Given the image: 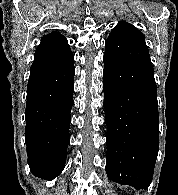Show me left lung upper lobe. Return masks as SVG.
<instances>
[{"label":"left lung upper lobe","mask_w":178,"mask_h":195,"mask_svg":"<svg viewBox=\"0 0 178 195\" xmlns=\"http://www.w3.org/2000/svg\"><path fill=\"white\" fill-rule=\"evenodd\" d=\"M105 54L153 70L144 35L133 25L120 22L105 43Z\"/></svg>","instance_id":"left-lung-upper-lobe-1"}]
</instances>
